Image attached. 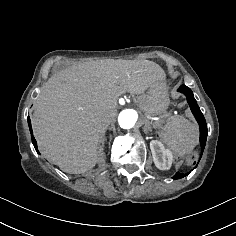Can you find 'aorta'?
<instances>
[{"label": "aorta", "instance_id": "obj_1", "mask_svg": "<svg viewBox=\"0 0 236 236\" xmlns=\"http://www.w3.org/2000/svg\"><path fill=\"white\" fill-rule=\"evenodd\" d=\"M138 114L133 109H124L118 116V123L123 129H131L137 122Z\"/></svg>", "mask_w": 236, "mask_h": 236}]
</instances>
